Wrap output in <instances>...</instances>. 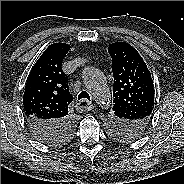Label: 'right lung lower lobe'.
Segmentation results:
<instances>
[{"label":"right lung lower lobe","mask_w":184,"mask_h":184,"mask_svg":"<svg viewBox=\"0 0 184 184\" xmlns=\"http://www.w3.org/2000/svg\"><path fill=\"white\" fill-rule=\"evenodd\" d=\"M27 122L34 136L42 143L49 145L56 143L61 136H65L75 126L74 120L70 117L57 122L30 118Z\"/></svg>","instance_id":"right-lung-lower-lobe-1"}]
</instances>
